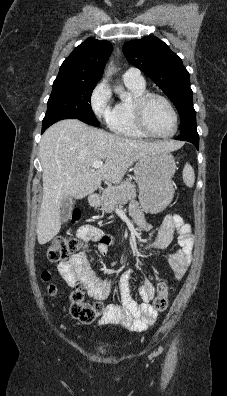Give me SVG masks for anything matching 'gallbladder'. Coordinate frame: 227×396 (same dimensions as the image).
Instances as JSON below:
<instances>
[{
	"label": "gallbladder",
	"mask_w": 227,
	"mask_h": 396,
	"mask_svg": "<svg viewBox=\"0 0 227 396\" xmlns=\"http://www.w3.org/2000/svg\"><path fill=\"white\" fill-rule=\"evenodd\" d=\"M72 204L73 198L71 196H68L63 201L60 208V218L62 222H67V220L70 218L72 212Z\"/></svg>",
	"instance_id": "obj_1"
}]
</instances>
